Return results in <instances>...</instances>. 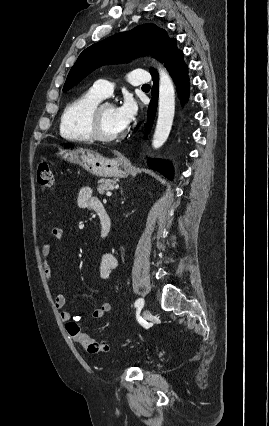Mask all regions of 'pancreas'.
Segmentation results:
<instances>
[{"label": "pancreas", "instance_id": "cf45deb5", "mask_svg": "<svg viewBox=\"0 0 269 426\" xmlns=\"http://www.w3.org/2000/svg\"><path fill=\"white\" fill-rule=\"evenodd\" d=\"M116 179H100L98 180L97 191L100 194H104L106 191L113 190L115 188Z\"/></svg>", "mask_w": 269, "mask_h": 426}]
</instances>
